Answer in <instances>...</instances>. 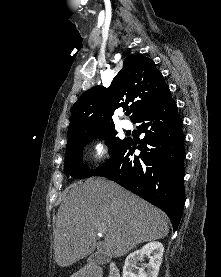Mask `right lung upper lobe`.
Returning <instances> with one entry per match:
<instances>
[{
    "instance_id": "cb5924a9",
    "label": "right lung upper lobe",
    "mask_w": 221,
    "mask_h": 277,
    "mask_svg": "<svg viewBox=\"0 0 221 277\" xmlns=\"http://www.w3.org/2000/svg\"><path fill=\"white\" fill-rule=\"evenodd\" d=\"M169 88L155 63L142 55H130L109 88L89 89L71 111L68 138L92 128L114 125L112 116L118 108L130 105L133 121L149 104Z\"/></svg>"
}]
</instances>
